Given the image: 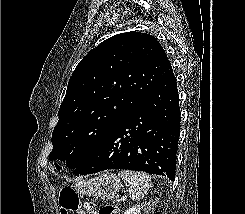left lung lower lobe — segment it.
Segmentation results:
<instances>
[{"mask_svg":"<svg viewBox=\"0 0 245 214\" xmlns=\"http://www.w3.org/2000/svg\"><path fill=\"white\" fill-rule=\"evenodd\" d=\"M179 133V97L172 74L136 105L73 173L129 169L174 181Z\"/></svg>","mask_w":245,"mask_h":214,"instance_id":"1","label":"left lung lower lobe"}]
</instances>
